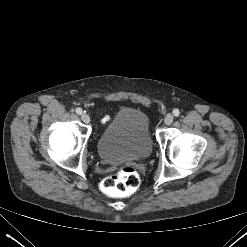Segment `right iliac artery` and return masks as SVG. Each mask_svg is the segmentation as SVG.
Segmentation results:
<instances>
[{
	"instance_id": "right-iliac-artery-1",
	"label": "right iliac artery",
	"mask_w": 247,
	"mask_h": 247,
	"mask_svg": "<svg viewBox=\"0 0 247 247\" xmlns=\"http://www.w3.org/2000/svg\"><path fill=\"white\" fill-rule=\"evenodd\" d=\"M75 111H76V113H77V114H79V115H81V114H82V109H81V108H76V110H75Z\"/></svg>"
}]
</instances>
